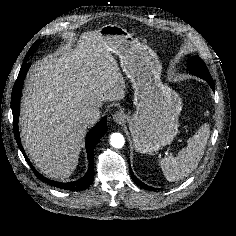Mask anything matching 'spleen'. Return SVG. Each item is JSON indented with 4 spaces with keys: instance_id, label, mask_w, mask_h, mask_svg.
I'll return each mask as SVG.
<instances>
[{
    "instance_id": "3e777b00",
    "label": "spleen",
    "mask_w": 236,
    "mask_h": 236,
    "mask_svg": "<svg viewBox=\"0 0 236 236\" xmlns=\"http://www.w3.org/2000/svg\"><path fill=\"white\" fill-rule=\"evenodd\" d=\"M209 134V126L204 124L188 139L187 147L179 151L176 157L169 156L160 160L161 169L168 181L181 180L197 168L204 154Z\"/></svg>"
}]
</instances>
